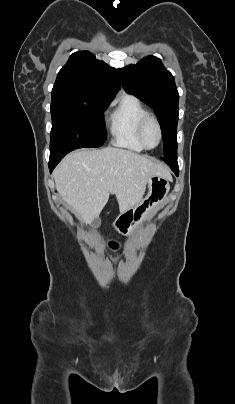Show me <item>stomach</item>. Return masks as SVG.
<instances>
[{
    "label": "stomach",
    "mask_w": 235,
    "mask_h": 404,
    "mask_svg": "<svg viewBox=\"0 0 235 404\" xmlns=\"http://www.w3.org/2000/svg\"><path fill=\"white\" fill-rule=\"evenodd\" d=\"M146 197L135 207L119 214L113 227L123 236H131L166 202L170 190L168 179L153 176L149 179Z\"/></svg>",
    "instance_id": "obj_1"
}]
</instances>
